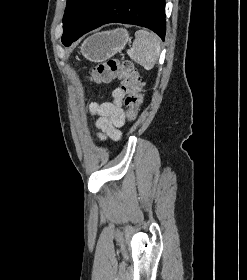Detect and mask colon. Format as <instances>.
Segmentation results:
<instances>
[{"instance_id": "1", "label": "colon", "mask_w": 247, "mask_h": 280, "mask_svg": "<svg viewBox=\"0 0 247 280\" xmlns=\"http://www.w3.org/2000/svg\"><path fill=\"white\" fill-rule=\"evenodd\" d=\"M91 79L95 82L119 80L125 94L127 119L134 121L137 118L143 102V84L132 62L109 59L93 69Z\"/></svg>"}]
</instances>
